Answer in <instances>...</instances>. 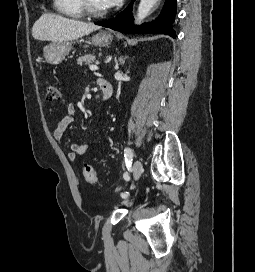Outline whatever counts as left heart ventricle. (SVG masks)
Here are the masks:
<instances>
[{"mask_svg": "<svg viewBox=\"0 0 255 272\" xmlns=\"http://www.w3.org/2000/svg\"><path fill=\"white\" fill-rule=\"evenodd\" d=\"M91 4L93 8L98 11L106 10V7L104 6L102 0H91Z\"/></svg>", "mask_w": 255, "mask_h": 272, "instance_id": "obj_1", "label": "left heart ventricle"}]
</instances>
